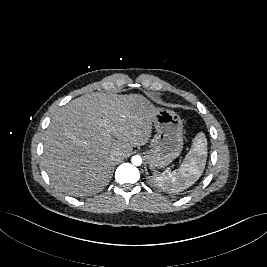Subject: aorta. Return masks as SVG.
I'll use <instances>...</instances> for the list:
<instances>
[{
    "instance_id": "obj_1",
    "label": "aorta",
    "mask_w": 267,
    "mask_h": 267,
    "mask_svg": "<svg viewBox=\"0 0 267 267\" xmlns=\"http://www.w3.org/2000/svg\"><path fill=\"white\" fill-rule=\"evenodd\" d=\"M131 162L135 166H140L142 164V158L139 155H135L131 158Z\"/></svg>"
}]
</instances>
